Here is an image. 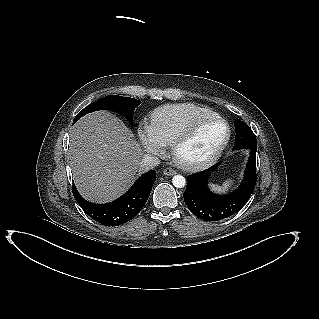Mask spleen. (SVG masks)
I'll return each mask as SVG.
<instances>
[{
  "mask_svg": "<svg viewBox=\"0 0 319 319\" xmlns=\"http://www.w3.org/2000/svg\"><path fill=\"white\" fill-rule=\"evenodd\" d=\"M233 183H234V180L229 178L225 182H223L221 186L215 185V184H211L210 186L214 192L222 194L229 191V189L233 186Z\"/></svg>",
  "mask_w": 319,
  "mask_h": 319,
  "instance_id": "1",
  "label": "spleen"
}]
</instances>
